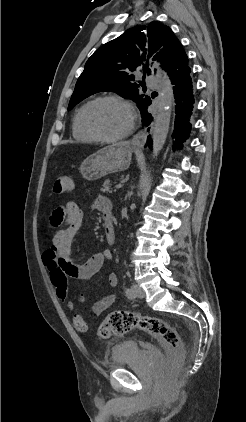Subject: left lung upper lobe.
<instances>
[{
	"mask_svg": "<svg viewBox=\"0 0 246 422\" xmlns=\"http://www.w3.org/2000/svg\"><path fill=\"white\" fill-rule=\"evenodd\" d=\"M180 45L172 30L156 21L148 26L127 30L104 44L88 59L77 80L68 110L88 96L102 91L116 92L133 100L140 111L144 110L151 99L139 94L138 88L144 83H135L133 71L142 68L143 79L146 72L150 75L148 60L152 56L166 70Z\"/></svg>",
	"mask_w": 246,
	"mask_h": 422,
	"instance_id": "left-lung-upper-lobe-1",
	"label": "left lung upper lobe"
}]
</instances>
